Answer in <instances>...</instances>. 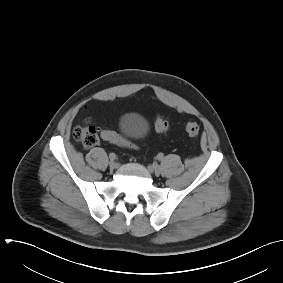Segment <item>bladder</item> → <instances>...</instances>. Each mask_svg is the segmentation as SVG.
Masks as SVG:
<instances>
[{"label":"bladder","mask_w":283,"mask_h":283,"mask_svg":"<svg viewBox=\"0 0 283 283\" xmlns=\"http://www.w3.org/2000/svg\"><path fill=\"white\" fill-rule=\"evenodd\" d=\"M121 132L129 139L137 140L143 138L148 131L147 121L139 114L128 113L119 120Z\"/></svg>","instance_id":"1"}]
</instances>
